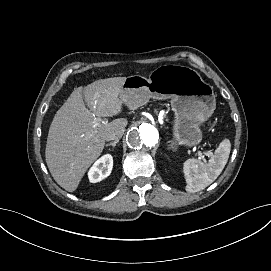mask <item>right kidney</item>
<instances>
[{
    "label": "right kidney",
    "mask_w": 271,
    "mask_h": 271,
    "mask_svg": "<svg viewBox=\"0 0 271 271\" xmlns=\"http://www.w3.org/2000/svg\"><path fill=\"white\" fill-rule=\"evenodd\" d=\"M113 167V158L111 155H104L100 158L89 172L90 181L93 183L99 182L108 177Z\"/></svg>",
    "instance_id": "ca27d5eb"
}]
</instances>
